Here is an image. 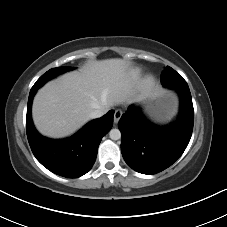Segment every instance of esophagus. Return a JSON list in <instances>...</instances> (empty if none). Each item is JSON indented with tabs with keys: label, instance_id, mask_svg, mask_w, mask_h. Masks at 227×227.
Here are the masks:
<instances>
[{
	"label": "esophagus",
	"instance_id": "1",
	"mask_svg": "<svg viewBox=\"0 0 227 227\" xmlns=\"http://www.w3.org/2000/svg\"><path fill=\"white\" fill-rule=\"evenodd\" d=\"M122 116V111L121 110H116L114 113V123L117 124Z\"/></svg>",
	"mask_w": 227,
	"mask_h": 227
}]
</instances>
